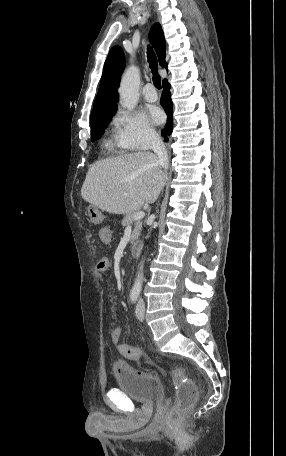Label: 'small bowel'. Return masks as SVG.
<instances>
[{
	"instance_id": "obj_1",
	"label": "small bowel",
	"mask_w": 286,
	"mask_h": 456,
	"mask_svg": "<svg viewBox=\"0 0 286 456\" xmlns=\"http://www.w3.org/2000/svg\"><path fill=\"white\" fill-rule=\"evenodd\" d=\"M99 236H100V239L102 240V242L104 243H110L111 242V234H110V230L106 227L102 228L99 232ZM111 265H112V261L110 258L108 257H103L102 259L99 260V262L97 263V270L98 272L100 273H106L110 270L111 268ZM121 335H122V330L120 327H116L112 330L111 332V340L114 344H117V348H118V352L124 356L122 354V348L123 346H125L126 344H119V341L121 339Z\"/></svg>"
}]
</instances>
